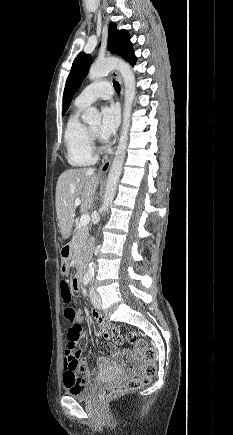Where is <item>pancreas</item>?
<instances>
[{
	"label": "pancreas",
	"instance_id": "obj_1",
	"mask_svg": "<svg viewBox=\"0 0 233 435\" xmlns=\"http://www.w3.org/2000/svg\"><path fill=\"white\" fill-rule=\"evenodd\" d=\"M88 228L83 226H77L75 230V234L71 241L72 248V259L75 262L76 266L82 264L84 256L87 252L88 246Z\"/></svg>",
	"mask_w": 233,
	"mask_h": 435
}]
</instances>
